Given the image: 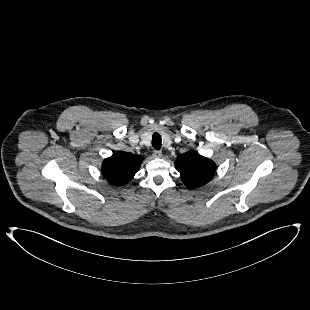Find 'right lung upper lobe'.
<instances>
[{
  "label": "right lung upper lobe",
  "instance_id": "right-lung-upper-lobe-1",
  "mask_svg": "<svg viewBox=\"0 0 310 310\" xmlns=\"http://www.w3.org/2000/svg\"><path fill=\"white\" fill-rule=\"evenodd\" d=\"M142 161L141 156L120 151L103 161L102 172L110 184H126L139 170Z\"/></svg>",
  "mask_w": 310,
  "mask_h": 310
}]
</instances>
